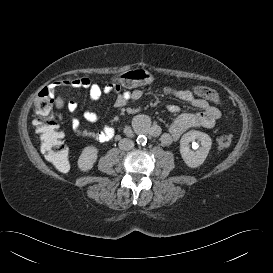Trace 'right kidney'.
<instances>
[{"mask_svg":"<svg viewBox=\"0 0 273 273\" xmlns=\"http://www.w3.org/2000/svg\"><path fill=\"white\" fill-rule=\"evenodd\" d=\"M98 149L94 146L85 147L79 157L78 165L82 171H88L97 160Z\"/></svg>","mask_w":273,"mask_h":273,"instance_id":"ca27d5eb","label":"right kidney"}]
</instances>
